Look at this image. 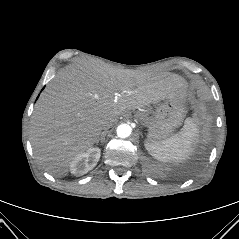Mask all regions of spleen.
<instances>
[{
  "mask_svg": "<svg viewBox=\"0 0 239 239\" xmlns=\"http://www.w3.org/2000/svg\"><path fill=\"white\" fill-rule=\"evenodd\" d=\"M196 118H187L183 128L163 141H147L145 148L151 156L162 162H178L192 151L193 140L198 134Z\"/></svg>",
  "mask_w": 239,
  "mask_h": 239,
  "instance_id": "1",
  "label": "spleen"
}]
</instances>
